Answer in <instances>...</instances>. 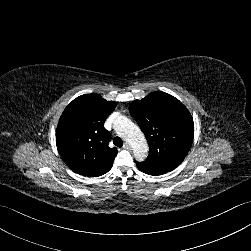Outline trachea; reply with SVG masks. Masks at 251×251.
<instances>
[{
  "instance_id": "obj_1",
  "label": "trachea",
  "mask_w": 251,
  "mask_h": 251,
  "mask_svg": "<svg viewBox=\"0 0 251 251\" xmlns=\"http://www.w3.org/2000/svg\"><path fill=\"white\" fill-rule=\"evenodd\" d=\"M113 143L115 146L122 147L123 146V141L120 137H114Z\"/></svg>"
}]
</instances>
